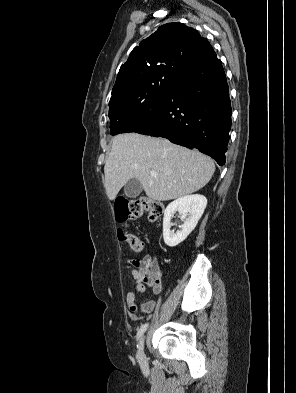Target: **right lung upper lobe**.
Returning <instances> with one entry per match:
<instances>
[{
  "label": "right lung upper lobe",
  "mask_w": 296,
  "mask_h": 393,
  "mask_svg": "<svg viewBox=\"0 0 296 393\" xmlns=\"http://www.w3.org/2000/svg\"><path fill=\"white\" fill-rule=\"evenodd\" d=\"M212 46L182 23L162 25L135 47L119 70L109 104L141 94L153 80L177 79Z\"/></svg>",
  "instance_id": "right-lung-upper-lobe-1"
}]
</instances>
